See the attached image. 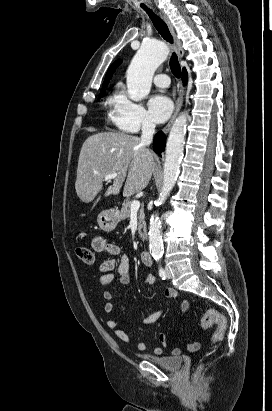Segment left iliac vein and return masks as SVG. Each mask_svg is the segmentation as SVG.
I'll return each instance as SVG.
<instances>
[{
  "instance_id": "1",
  "label": "left iliac vein",
  "mask_w": 272,
  "mask_h": 411,
  "mask_svg": "<svg viewBox=\"0 0 272 411\" xmlns=\"http://www.w3.org/2000/svg\"><path fill=\"white\" fill-rule=\"evenodd\" d=\"M166 277L171 278V271L168 266L165 267Z\"/></svg>"
}]
</instances>
